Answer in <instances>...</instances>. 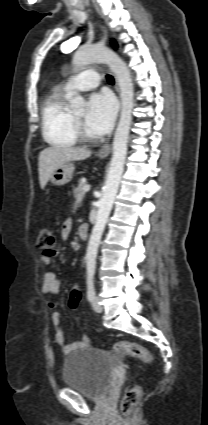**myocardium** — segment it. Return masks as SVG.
<instances>
[{"label":"myocardium","instance_id":"myocardium-1","mask_svg":"<svg viewBox=\"0 0 208 425\" xmlns=\"http://www.w3.org/2000/svg\"><path fill=\"white\" fill-rule=\"evenodd\" d=\"M72 119H73V130H74L76 138L84 143L92 142L94 138L85 132L82 122L78 118H76L75 115H72Z\"/></svg>","mask_w":208,"mask_h":425}]
</instances>
